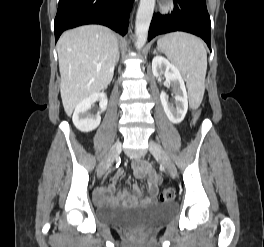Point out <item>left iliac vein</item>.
<instances>
[{"mask_svg": "<svg viewBox=\"0 0 264 247\" xmlns=\"http://www.w3.org/2000/svg\"><path fill=\"white\" fill-rule=\"evenodd\" d=\"M149 150L155 158L159 159L162 162L168 173L172 177H176V166L169 155L163 150V148L159 144L151 140L149 141Z\"/></svg>", "mask_w": 264, "mask_h": 247, "instance_id": "1", "label": "left iliac vein"}]
</instances>
